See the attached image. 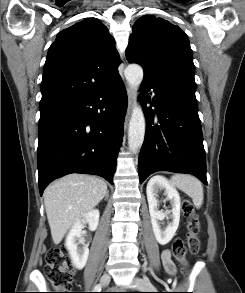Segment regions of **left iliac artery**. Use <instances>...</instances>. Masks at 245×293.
I'll list each match as a JSON object with an SVG mask.
<instances>
[{
  "label": "left iliac artery",
  "mask_w": 245,
  "mask_h": 293,
  "mask_svg": "<svg viewBox=\"0 0 245 293\" xmlns=\"http://www.w3.org/2000/svg\"><path fill=\"white\" fill-rule=\"evenodd\" d=\"M153 288H146V290H152Z\"/></svg>",
  "instance_id": "obj_1"
}]
</instances>
